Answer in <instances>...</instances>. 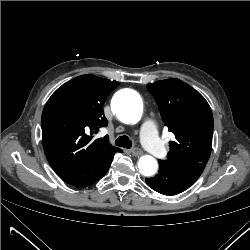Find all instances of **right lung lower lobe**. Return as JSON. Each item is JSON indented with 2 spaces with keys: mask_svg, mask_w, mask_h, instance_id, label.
<instances>
[{
  "mask_svg": "<svg viewBox=\"0 0 250 250\" xmlns=\"http://www.w3.org/2000/svg\"><path fill=\"white\" fill-rule=\"evenodd\" d=\"M120 150H111L101 154L88 165L69 171H60L56 174L66 183L75 187L89 186L101 179L108 171L114 154ZM121 152V151H120Z\"/></svg>",
  "mask_w": 250,
  "mask_h": 250,
  "instance_id": "98d812e1",
  "label": "right lung lower lobe"
}]
</instances>
